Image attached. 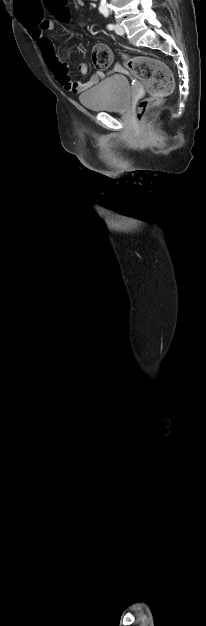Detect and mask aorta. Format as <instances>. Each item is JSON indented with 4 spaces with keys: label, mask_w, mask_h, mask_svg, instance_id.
I'll return each mask as SVG.
<instances>
[{
    "label": "aorta",
    "mask_w": 206,
    "mask_h": 626,
    "mask_svg": "<svg viewBox=\"0 0 206 626\" xmlns=\"http://www.w3.org/2000/svg\"><path fill=\"white\" fill-rule=\"evenodd\" d=\"M101 7L107 9L106 0L101 1Z\"/></svg>",
    "instance_id": "aorta-1"
}]
</instances>
